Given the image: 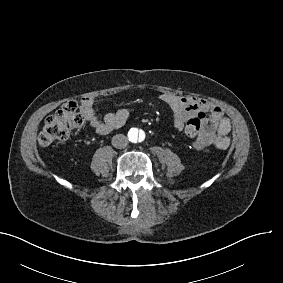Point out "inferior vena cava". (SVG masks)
Returning a JSON list of instances; mask_svg holds the SVG:
<instances>
[{
  "label": "inferior vena cava",
  "instance_id": "1",
  "mask_svg": "<svg viewBox=\"0 0 283 283\" xmlns=\"http://www.w3.org/2000/svg\"><path fill=\"white\" fill-rule=\"evenodd\" d=\"M112 145L117 149H124L128 145V138L123 134H116L112 138Z\"/></svg>",
  "mask_w": 283,
  "mask_h": 283
}]
</instances>
